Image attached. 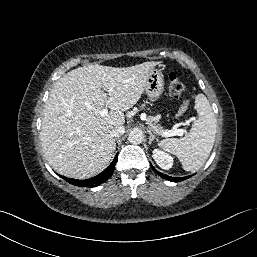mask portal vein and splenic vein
Returning a JSON list of instances; mask_svg holds the SVG:
<instances>
[{"label": "portal vein and splenic vein", "instance_id": "1", "mask_svg": "<svg viewBox=\"0 0 257 257\" xmlns=\"http://www.w3.org/2000/svg\"><path fill=\"white\" fill-rule=\"evenodd\" d=\"M104 95H106V94H104ZM100 115L102 117L108 115V108H107V106L101 110ZM141 119L145 120L146 119V114H144V113L141 114ZM184 132H185V130H183V129H176V128H174L172 130H165L163 133H161V135L164 136V137H171V136H175V135L181 136V135H183Z\"/></svg>", "mask_w": 257, "mask_h": 257}]
</instances>
